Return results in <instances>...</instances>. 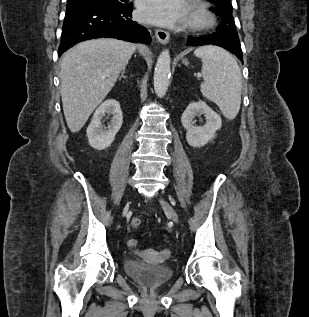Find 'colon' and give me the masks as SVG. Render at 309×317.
Here are the masks:
<instances>
[{
	"label": "colon",
	"mask_w": 309,
	"mask_h": 317,
	"mask_svg": "<svg viewBox=\"0 0 309 317\" xmlns=\"http://www.w3.org/2000/svg\"><path fill=\"white\" fill-rule=\"evenodd\" d=\"M141 225V220L138 217H135L131 220V226L133 228H138ZM128 246L130 247H135L137 245V240L136 239H129L127 242ZM167 253V252H165Z\"/></svg>",
	"instance_id": "1"
}]
</instances>
